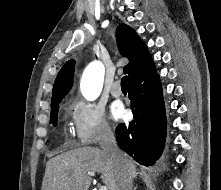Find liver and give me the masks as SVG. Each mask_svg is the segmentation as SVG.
Masks as SVG:
<instances>
[{
  "instance_id": "1",
  "label": "liver",
  "mask_w": 221,
  "mask_h": 190,
  "mask_svg": "<svg viewBox=\"0 0 221 190\" xmlns=\"http://www.w3.org/2000/svg\"><path fill=\"white\" fill-rule=\"evenodd\" d=\"M124 156L131 178H137L134 161L126 154ZM88 172L101 173L108 190H116L119 169L106 153L90 146L51 158L46 164L41 190H88L91 184Z\"/></svg>"
}]
</instances>
